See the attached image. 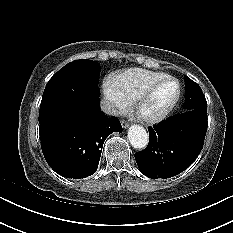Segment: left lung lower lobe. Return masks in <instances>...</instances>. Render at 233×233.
Masks as SVG:
<instances>
[{
	"label": "left lung lower lobe",
	"instance_id": "obj_1",
	"mask_svg": "<svg viewBox=\"0 0 233 233\" xmlns=\"http://www.w3.org/2000/svg\"><path fill=\"white\" fill-rule=\"evenodd\" d=\"M207 108L186 110L149 128V143L135 153L139 170L149 178H170L186 170L202 150Z\"/></svg>",
	"mask_w": 233,
	"mask_h": 233
}]
</instances>
